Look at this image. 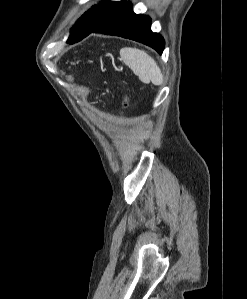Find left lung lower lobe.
Segmentation results:
<instances>
[{
  "instance_id": "1",
  "label": "left lung lower lobe",
  "mask_w": 247,
  "mask_h": 299,
  "mask_svg": "<svg viewBox=\"0 0 247 299\" xmlns=\"http://www.w3.org/2000/svg\"><path fill=\"white\" fill-rule=\"evenodd\" d=\"M150 22V17L135 14L131 3H124L117 11L86 33L81 39L92 32L121 36L141 42L162 54L164 39L161 35L151 31Z\"/></svg>"
}]
</instances>
